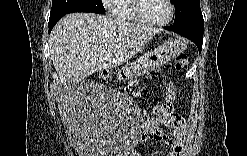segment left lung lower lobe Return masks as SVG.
I'll use <instances>...</instances> for the list:
<instances>
[{"instance_id":"1","label":"left lung lower lobe","mask_w":247,"mask_h":156,"mask_svg":"<svg viewBox=\"0 0 247 156\" xmlns=\"http://www.w3.org/2000/svg\"><path fill=\"white\" fill-rule=\"evenodd\" d=\"M164 28L190 39L197 45L199 53L201 52L204 29V20L202 13L196 14L195 17L182 24H174L173 26Z\"/></svg>"}]
</instances>
